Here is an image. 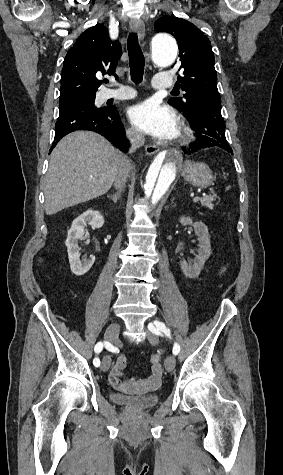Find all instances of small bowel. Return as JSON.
I'll return each mask as SVG.
<instances>
[{
	"label": "small bowel",
	"instance_id": "c3829d8e",
	"mask_svg": "<svg viewBox=\"0 0 283 475\" xmlns=\"http://www.w3.org/2000/svg\"><path fill=\"white\" fill-rule=\"evenodd\" d=\"M229 266V262L225 263L219 270L220 274H224ZM127 359L124 354H120L116 359L115 363L113 364L108 380L110 385L117 390L125 391L127 390L128 384L134 385L137 382L136 377L131 376L129 377L128 381L122 379V372L126 368ZM163 375V370L161 369H153L152 374L148 378L147 376H141L138 379L139 384L147 385L148 383L156 386L161 382Z\"/></svg>",
	"mask_w": 283,
	"mask_h": 475
}]
</instances>
